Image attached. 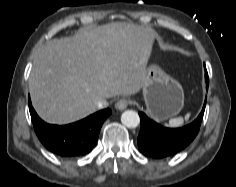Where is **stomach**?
Wrapping results in <instances>:
<instances>
[{"label":"stomach","instance_id":"1","mask_svg":"<svg viewBox=\"0 0 236 187\" xmlns=\"http://www.w3.org/2000/svg\"><path fill=\"white\" fill-rule=\"evenodd\" d=\"M142 92L148 113L158 121L176 116L184 106L182 86L157 65L148 68Z\"/></svg>","mask_w":236,"mask_h":187}]
</instances>
